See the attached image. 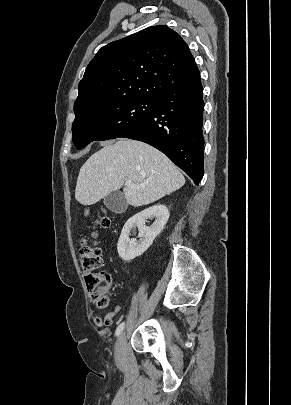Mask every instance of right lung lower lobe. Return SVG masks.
Returning <instances> with one entry per match:
<instances>
[{
  "mask_svg": "<svg viewBox=\"0 0 291 405\" xmlns=\"http://www.w3.org/2000/svg\"><path fill=\"white\" fill-rule=\"evenodd\" d=\"M203 87L200 76L155 98V107L136 129L122 136L162 151L199 184L204 174Z\"/></svg>",
  "mask_w": 291,
  "mask_h": 405,
  "instance_id": "1",
  "label": "right lung lower lobe"
}]
</instances>
